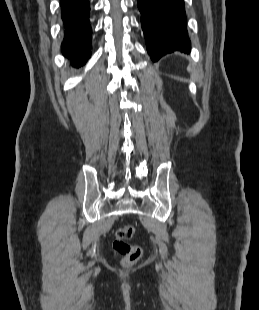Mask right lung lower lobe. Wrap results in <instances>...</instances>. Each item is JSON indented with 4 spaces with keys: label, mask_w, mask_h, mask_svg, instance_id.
Masks as SVG:
<instances>
[{
    "label": "right lung lower lobe",
    "mask_w": 259,
    "mask_h": 310,
    "mask_svg": "<svg viewBox=\"0 0 259 310\" xmlns=\"http://www.w3.org/2000/svg\"><path fill=\"white\" fill-rule=\"evenodd\" d=\"M63 21V55L72 66H83L91 50V25L89 0H60Z\"/></svg>",
    "instance_id": "right-lung-lower-lobe-1"
}]
</instances>
